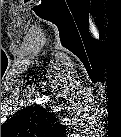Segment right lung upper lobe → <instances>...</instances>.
<instances>
[{
    "label": "right lung upper lobe",
    "mask_w": 121,
    "mask_h": 137,
    "mask_svg": "<svg viewBox=\"0 0 121 137\" xmlns=\"http://www.w3.org/2000/svg\"><path fill=\"white\" fill-rule=\"evenodd\" d=\"M61 128L62 125L52 113L35 104L24 108L2 124L1 133H10L11 135H47Z\"/></svg>",
    "instance_id": "cb5924a9"
}]
</instances>
